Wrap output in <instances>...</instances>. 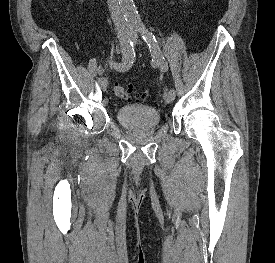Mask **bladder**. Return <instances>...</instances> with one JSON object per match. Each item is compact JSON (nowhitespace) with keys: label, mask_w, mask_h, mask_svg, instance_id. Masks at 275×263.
Returning a JSON list of instances; mask_svg holds the SVG:
<instances>
[{"label":"bladder","mask_w":275,"mask_h":263,"mask_svg":"<svg viewBox=\"0 0 275 263\" xmlns=\"http://www.w3.org/2000/svg\"><path fill=\"white\" fill-rule=\"evenodd\" d=\"M119 124L132 131L147 130L156 127L160 122V113L149 106H123L116 111Z\"/></svg>","instance_id":"bladder-1"}]
</instances>
